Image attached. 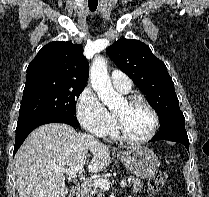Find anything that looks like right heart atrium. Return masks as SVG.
I'll return each instance as SVG.
<instances>
[{
    "label": "right heart atrium",
    "instance_id": "1",
    "mask_svg": "<svg viewBox=\"0 0 209 197\" xmlns=\"http://www.w3.org/2000/svg\"><path fill=\"white\" fill-rule=\"evenodd\" d=\"M76 114L81 125L91 134L104 137L114 125L112 114L102 104L90 87L80 93Z\"/></svg>",
    "mask_w": 209,
    "mask_h": 197
}]
</instances>
